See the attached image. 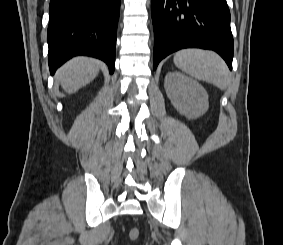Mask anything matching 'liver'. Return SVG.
Returning a JSON list of instances; mask_svg holds the SVG:
<instances>
[{
	"instance_id": "liver-1",
	"label": "liver",
	"mask_w": 283,
	"mask_h": 245,
	"mask_svg": "<svg viewBox=\"0 0 283 245\" xmlns=\"http://www.w3.org/2000/svg\"><path fill=\"white\" fill-rule=\"evenodd\" d=\"M101 62L87 57H77L64 64L56 73L63 90L75 93L89 84L99 73Z\"/></svg>"
}]
</instances>
